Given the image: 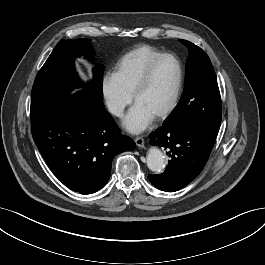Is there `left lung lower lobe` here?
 Returning <instances> with one entry per match:
<instances>
[{
	"mask_svg": "<svg viewBox=\"0 0 265 265\" xmlns=\"http://www.w3.org/2000/svg\"><path fill=\"white\" fill-rule=\"evenodd\" d=\"M149 138L151 145L165 148L171 158L164 173L148 175L156 188L166 192L182 189L200 174L215 142L190 125L161 126Z\"/></svg>",
	"mask_w": 265,
	"mask_h": 265,
	"instance_id": "1",
	"label": "left lung lower lobe"
}]
</instances>
